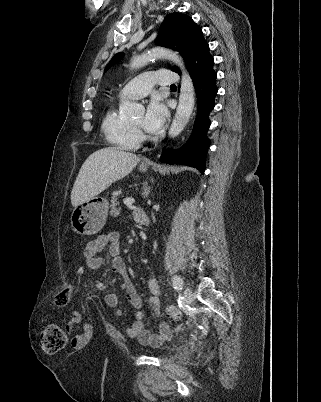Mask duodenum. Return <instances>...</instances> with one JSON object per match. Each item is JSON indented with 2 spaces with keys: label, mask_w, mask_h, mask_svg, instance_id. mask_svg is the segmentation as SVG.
<instances>
[{
  "label": "duodenum",
  "mask_w": 321,
  "mask_h": 402,
  "mask_svg": "<svg viewBox=\"0 0 321 402\" xmlns=\"http://www.w3.org/2000/svg\"><path fill=\"white\" fill-rule=\"evenodd\" d=\"M134 218L142 226H146L148 224V217L145 211L141 208H137L134 211Z\"/></svg>",
  "instance_id": "obj_1"
}]
</instances>
